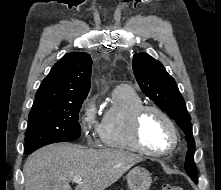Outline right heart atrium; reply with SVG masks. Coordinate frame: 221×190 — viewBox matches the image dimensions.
<instances>
[{
  "mask_svg": "<svg viewBox=\"0 0 221 190\" xmlns=\"http://www.w3.org/2000/svg\"><path fill=\"white\" fill-rule=\"evenodd\" d=\"M79 121L82 131L87 138L99 134L100 123L97 118L96 103L92 98H87L81 107Z\"/></svg>",
  "mask_w": 221,
  "mask_h": 190,
  "instance_id": "d8ad5b80",
  "label": "right heart atrium"
}]
</instances>
